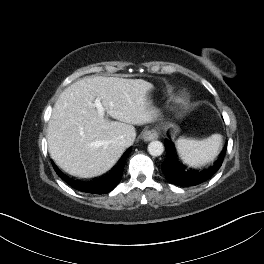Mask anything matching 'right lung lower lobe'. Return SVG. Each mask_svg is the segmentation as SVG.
Masks as SVG:
<instances>
[{"mask_svg": "<svg viewBox=\"0 0 264 264\" xmlns=\"http://www.w3.org/2000/svg\"><path fill=\"white\" fill-rule=\"evenodd\" d=\"M131 149L127 150L122 156L118 164L107 174L98 179H94L89 182H81L73 179H69L63 173H61L57 168H55L56 173L65 182H67L71 187L76 190L93 193V194H104L112 191L117 184L120 182L122 177V172L124 169L125 161L130 153Z\"/></svg>", "mask_w": 264, "mask_h": 264, "instance_id": "right-lung-lower-lobe-1", "label": "right lung lower lobe"}]
</instances>
